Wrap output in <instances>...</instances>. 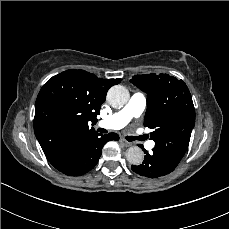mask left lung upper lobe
<instances>
[{"label": "left lung upper lobe", "mask_w": 229, "mask_h": 229, "mask_svg": "<svg viewBox=\"0 0 229 229\" xmlns=\"http://www.w3.org/2000/svg\"><path fill=\"white\" fill-rule=\"evenodd\" d=\"M147 93L144 126L153 129L159 158L176 168L184 156L195 124V109L184 81L168 74L135 75L130 80Z\"/></svg>", "instance_id": "obj_1"}]
</instances>
